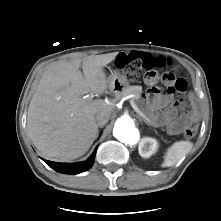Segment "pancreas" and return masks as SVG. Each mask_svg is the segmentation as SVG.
I'll return each instance as SVG.
<instances>
[{"mask_svg": "<svg viewBox=\"0 0 221 221\" xmlns=\"http://www.w3.org/2000/svg\"><path fill=\"white\" fill-rule=\"evenodd\" d=\"M141 91H142L141 86H129L125 90H123L119 95L134 94L135 97L133 98V100L135 101V100H138L140 98Z\"/></svg>", "mask_w": 221, "mask_h": 221, "instance_id": "pancreas-1", "label": "pancreas"}]
</instances>
